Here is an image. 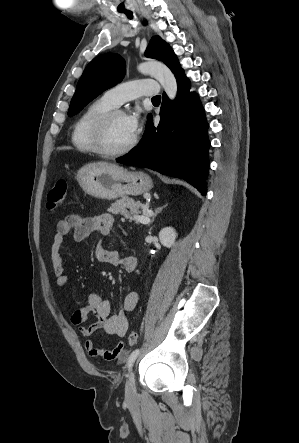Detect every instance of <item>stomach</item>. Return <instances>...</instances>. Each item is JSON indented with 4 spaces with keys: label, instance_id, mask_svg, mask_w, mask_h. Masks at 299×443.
Instances as JSON below:
<instances>
[{
    "label": "stomach",
    "instance_id": "obj_1",
    "mask_svg": "<svg viewBox=\"0 0 299 443\" xmlns=\"http://www.w3.org/2000/svg\"><path fill=\"white\" fill-rule=\"evenodd\" d=\"M76 179L87 194L107 200L141 195L153 188V181L147 174L127 171L109 163L85 165L78 171Z\"/></svg>",
    "mask_w": 299,
    "mask_h": 443
}]
</instances>
